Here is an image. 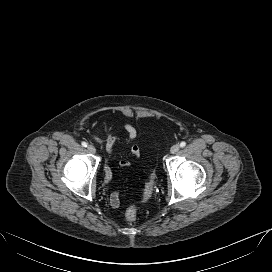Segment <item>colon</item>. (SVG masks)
<instances>
[{
  "label": "colon",
  "mask_w": 272,
  "mask_h": 272,
  "mask_svg": "<svg viewBox=\"0 0 272 272\" xmlns=\"http://www.w3.org/2000/svg\"><path fill=\"white\" fill-rule=\"evenodd\" d=\"M154 180H155V177L152 174L149 177V179L145 185V188H144V193H143L144 200H147L150 198L152 191H153V187H154ZM137 216H138V207L136 205H131L126 209L125 219L127 222L131 223V222L136 221Z\"/></svg>",
  "instance_id": "colon-1"
}]
</instances>
